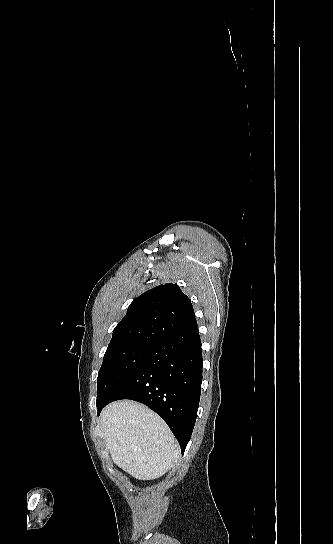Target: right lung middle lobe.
<instances>
[{
  "instance_id": "right-lung-middle-lobe-1",
  "label": "right lung middle lobe",
  "mask_w": 333,
  "mask_h": 544,
  "mask_svg": "<svg viewBox=\"0 0 333 544\" xmlns=\"http://www.w3.org/2000/svg\"><path fill=\"white\" fill-rule=\"evenodd\" d=\"M152 345L107 350L97 378V407L108 402L147 359Z\"/></svg>"
}]
</instances>
